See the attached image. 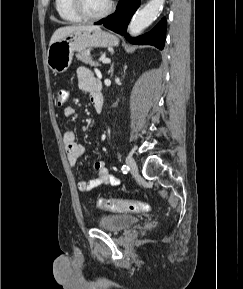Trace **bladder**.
<instances>
[{
	"label": "bladder",
	"mask_w": 243,
	"mask_h": 289,
	"mask_svg": "<svg viewBox=\"0 0 243 289\" xmlns=\"http://www.w3.org/2000/svg\"><path fill=\"white\" fill-rule=\"evenodd\" d=\"M138 221V217L134 215L107 214L99 218L98 226L108 231L121 232L133 227Z\"/></svg>",
	"instance_id": "obj_1"
}]
</instances>
